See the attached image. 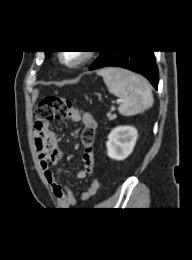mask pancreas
<instances>
[{"instance_id":"pancreas-1","label":"pancreas","mask_w":192,"mask_h":260,"mask_svg":"<svg viewBox=\"0 0 192 260\" xmlns=\"http://www.w3.org/2000/svg\"><path fill=\"white\" fill-rule=\"evenodd\" d=\"M115 110V107H111V112ZM111 112L107 113V117L109 120H114L116 118L115 114H112Z\"/></svg>"}]
</instances>
